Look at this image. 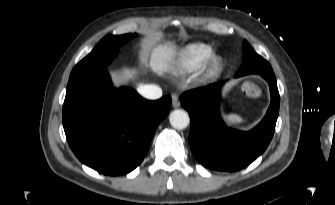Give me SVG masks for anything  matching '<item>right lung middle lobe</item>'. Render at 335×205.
Returning <instances> with one entry per match:
<instances>
[{"label":"right lung middle lobe","mask_w":335,"mask_h":205,"mask_svg":"<svg viewBox=\"0 0 335 205\" xmlns=\"http://www.w3.org/2000/svg\"><path fill=\"white\" fill-rule=\"evenodd\" d=\"M134 36H136V34L105 36L98 45L74 67L70 74L69 81L93 70L106 67L117 55L119 47Z\"/></svg>","instance_id":"dd1d6c3e"}]
</instances>
